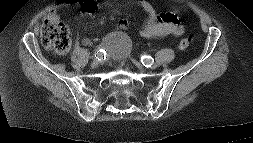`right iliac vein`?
I'll return each instance as SVG.
<instances>
[{"instance_id": "right-iliac-vein-1", "label": "right iliac vein", "mask_w": 253, "mask_h": 143, "mask_svg": "<svg viewBox=\"0 0 253 143\" xmlns=\"http://www.w3.org/2000/svg\"><path fill=\"white\" fill-rule=\"evenodd\" d=\"M91 66H92V68H96L98 66V61L97 60H93Z\"/></svg>"}]
</instances>
